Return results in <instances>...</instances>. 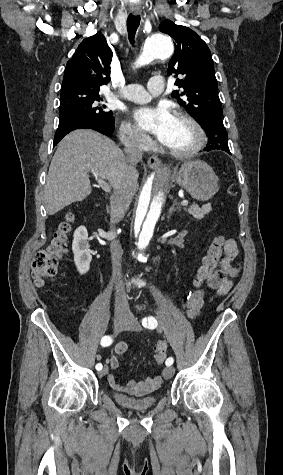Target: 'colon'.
<instances>
[{
  "instance_id": "obj_1",
  "label": "colon",
  "mask_w": 283,
  "mask_h": 475,
  "mask_svg": "<svg viewBox=\"0 0 283 475\" xmlns=\"http://www.w3.org/2000/svg\"><path fill=\"white\" fill-rule=\"evenodd\" d=\"M74 226V215L68 214L49 244L36 250L32 262V276L37 284H44L52 280L56 275V268L59 260L67 256L71 241V234ZM225 246V237L218 234L214 237L206 254L203 256L201 264L193 279L194 285L200 282L210 280L214 274L215 268L221 260L222 252ZM166 342L159 341L154 347V360L161 364L166 355Z\"/></svg>"
}]
</instances>
